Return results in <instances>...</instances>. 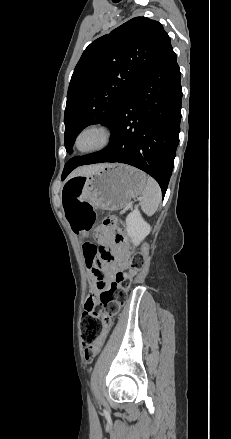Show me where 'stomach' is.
<instances>
[{
    "instance_id": "0dacf381",
    "label": "stomach",
    "mask_w": 231,
    "mask_h": 439,
    "mask_svg": "<svg viewBox=\"0 0 231 439\" xmlns=\"http://www.w3.org/2000/svg\"><path fill=\"white\" fill-rule=\"evenodd\" d=\"M82 178L81 201L103 210H118L139 196L147 176L142 171L124 164H108L104 168Z\"/></svg>"
}]
</instances>
